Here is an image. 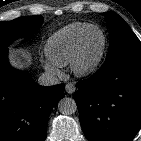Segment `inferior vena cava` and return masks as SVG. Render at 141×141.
<instances>
[{
	"label": "inferior vena cava",
	"instance_id": "obj_1",
	"mask_svg": "<svg viewBox=\"0 0 141 141\" xmlns=\"http://www.w3.org/2000/svg\"><path fill=\"white\" fill-rule=\"evenodd\" d=\"M59 83L58 78L50 73V72H44L39 78H38V84L41 86H53Z\"/></svg>",
	"mask_w": 141,
	"mask_h": 141
}]
</instances>
